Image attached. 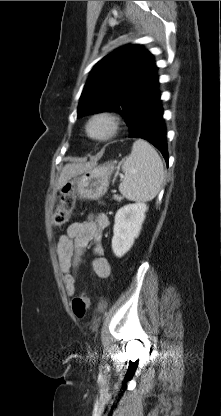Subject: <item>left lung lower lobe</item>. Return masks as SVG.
<instances>
[{
  "mask_svg": "<svg viewBox=\"0 0 221 416\" xmlns=\"http://www.w3.org/2000/svg\"><path fill=\"white\" fill-rule=\"evenodd\" d=\"M158 85L138 104L129 127V137L145 139L153 144L168 164L166 126Z\"/></svg>",
  "mask_w": 221,
  "mask_h": 416,
  "instance_id": "obj_1",
  "label": "left lung lower lobe"
}]
</instances>
